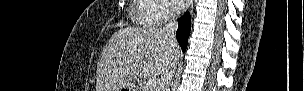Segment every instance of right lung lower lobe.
Masks as SVG:
<instances>
[{
	"instance_id": "98d812e1",
	"label": "right lung lower lobe",
	"mask_w": 304,
	"mask_h": 91,
	"mask_svg": "<svg viewBox=\"0 0 304 91\" xmlns=\"http://www.w3.org/2000/svg\"><path fill=\"white\" fill-rule=\"evenodd\" d=\"M178 23H179V27L176 32V38L182 50L185 51L190 34V26H191L190 14L189 13L184 14L182 17L178 19Z\"/></svg>"
}]
</instances>
